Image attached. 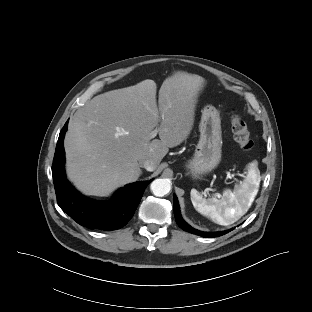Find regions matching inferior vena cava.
I'll return each instance as SVG.
<instances>
[{
	"instance_id": "obj_1",
	"label": "inferior vena cava",
	"mask_w": 312,
	"mask_h": 312,
	"mask_svg": "<svg viewBox=\"0 0 312 312\" xmlns=\"http://www.w3.org/2000/svg\"><path fill=\"white\" fill-rule=\"evenodd\" d=\"M141 167L145 168L147 171H153L156 169V162L152 159L139 160Z\"/></svg>"
}]
</instances>
